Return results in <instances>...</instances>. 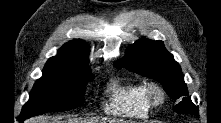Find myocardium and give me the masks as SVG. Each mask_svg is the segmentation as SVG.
I'll use <instances>...</instances> for the list:
<instances>
[{
    "label": "myocardium",
    "instance_id": "1",
    "mask_svg": "<svg viewBox=\"0 0 221 123\" xmlns=\"http://www.w3.org/2000/svg\"><path fill=\"white\" fill-rule=\"evenodd\" d=\"M144 95L150 106H160L165 102L164 88L157 82H148L144 85Z\"/></svg>",
    "mask_w": 221,
    "mask_h": 123
}]
</instances>
